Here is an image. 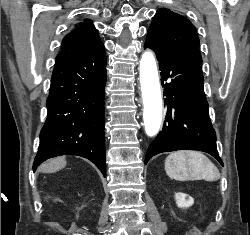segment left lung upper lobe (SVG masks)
I'll return each mask as SVG.
<instances>
[{"label": "left lung upper lobe", "mask_w": 250, "mask_h": 235, "mask_svg": "<svg viewBox=\"0 0 250 235\" xmlns=\"http://www.w3.org/2000/svg\"><path fill=\"white\" fill-rule=\"evenodd\" d=\"M146 39L165 48L199 46L195 26L184 16L163 8L153 17Z\"/></svg>", "instance_id": "obj_1"}]
</instances>
